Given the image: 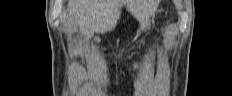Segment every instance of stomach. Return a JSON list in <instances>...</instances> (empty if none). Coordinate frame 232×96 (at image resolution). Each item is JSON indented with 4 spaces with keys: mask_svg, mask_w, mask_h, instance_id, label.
I'll list each match as a JSON object with an SVG mask.
<instances>
[{
    "mask_svg": "<svg viewBox=\"0 0 232 96\" xmlns=\"http://www.w3.org/2000/svg\"><path fill=\"white\" fill-rule=\"evenodd\" d=\"M147 26H149V22L148 21L145 23L144 27H147Z\"/></svg>",
    "mask_w": 232,
    "mask_h": 96,
    "instance_id": "0dacf381",
    "label": "stomach"
}]
</instances>
